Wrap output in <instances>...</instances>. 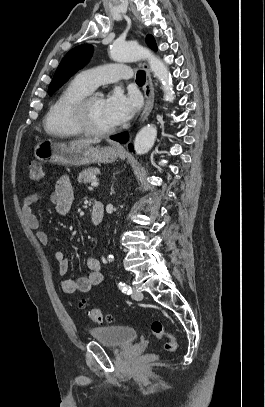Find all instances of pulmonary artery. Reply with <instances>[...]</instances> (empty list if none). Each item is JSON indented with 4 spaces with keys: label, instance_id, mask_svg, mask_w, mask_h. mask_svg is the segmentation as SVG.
Returning a JSON list of instances; mask_svg holds the SVG:
<instances>
[{
    "label": "pulmonary artery",
    "instance_id": "pulmonary-artery-1",
    "mask_svg": "<svg viewBox=\"0 0 265 407\" xmlns=\"http://www.w3.org/2000/svg\"><path fill=\"white\" fill-rule=\"evenodd\" d=\"M132 72L128 66L108 64L85 70L76 79L89 90L96 89L101 84L129 80Z\"/></svg>",
    "mask_w": 265,
    "mask_h": 407
}]
</instances>
